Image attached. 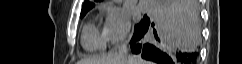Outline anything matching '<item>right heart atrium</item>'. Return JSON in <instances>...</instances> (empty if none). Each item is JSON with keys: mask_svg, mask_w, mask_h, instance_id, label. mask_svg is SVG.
<instances>
[{"mask_svg": "<svg viewBox=\"0 0 242 64\" xmlns=\"http://www.w3.org/2000/svg\"><path fill=\"white\" fill-rule=\"evenodd\" d=\"M131 22L129 17L115 7H107L105 10V21L103 34L107 44L117 46L127 41Z\"/></svg>", "mask_w": 242, "mask_h": 64, "instance_id": "d8ad5b80", "label": "right heart atrium"}]
</instances>
